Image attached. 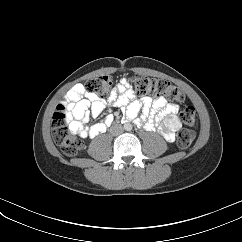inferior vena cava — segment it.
Listing matches in <instances>:
<instances>
[{"label": "inferior vena cava", "instance_id": "1", "mask_svg": "<svg viewBox=\"0 0 242 242\" xmlns=\"http://www.w3.org/2000/svg\"><path fill=\"white\" fill-rule=\"evenodd\" d=\"M113 135H119L123 132V127L121 125H115L110 129Z\"/></svg>", "mask_w": 242, "mask_h": 242}]
</instances>
